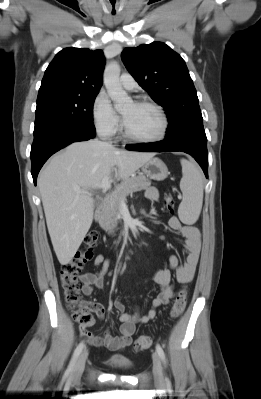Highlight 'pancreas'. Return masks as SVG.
Returning a JSON list of instances; mask_svg holds the SVG:
<instances>
[{
    "label": "pancreas",
    "instance_id": "obj_1",
    "mask_svg": "<svg viewBox=\"0 0 261 399\" xmlns=\"http://www.w3.org/2000/svg\"><path fill=\"white\" fill-rule=\"evenodd\" d=\"M151 181L144 175H137L124 180L111 194L107 205L100 218V226L109 234L114 232L120 220V207L122 201L126 200L129 194L146 189Z\"/></svg>",
    "mask_w": 261,
    "mask_h": 399
}]
</instances>
